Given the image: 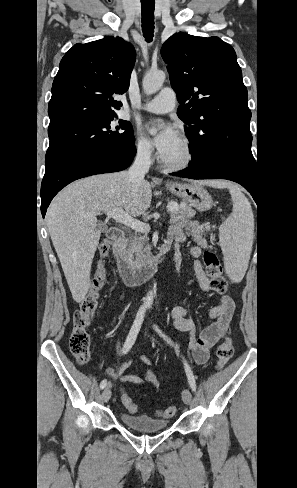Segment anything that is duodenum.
<instances>
[{
    "instance_id": "duodenum-1",
    "label": "duodenum",
    "mask_w": 297,
    "mask_h": 488,
    "mask_svg": "<svg viewBox=\"0 0 297 488\" xmlns=\"http://www.w3.org/2000/svg\"><path fill=\"white\" fill-rule=\"evenodd\" d=\"M112 245V254L117 262L118 271L123 281L128 285H136L147 280L156 270L162 258L169 252L170 247L163 244L157 253L142 265H134L125 252L124 231L113 227L108 233Z\"/></svg>"
}]
</instances>
